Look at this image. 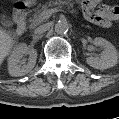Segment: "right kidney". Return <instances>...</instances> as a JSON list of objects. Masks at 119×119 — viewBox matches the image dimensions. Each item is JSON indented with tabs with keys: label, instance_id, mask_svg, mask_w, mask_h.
<instances>
[{
	"label": "right kidney",
	"instance_id": "right-kidney-1",
	"mask_svg": "<svg viewBox=\"0 0 119 119\" xmlns=\"http://www.w3.org/2000/svg\"><path fill=\"white\" fill-rule=\"evenodd\" d=\"M24 55H29L28 63L21 61ZM37 59V51L29 48L25 43L19 44L13 50L8 59V71L11 76L19 77L29 73L35 66Z\"/></svg>",
	"mask_w": 119,
	"mask_h": 119
}]
</instances>
